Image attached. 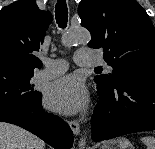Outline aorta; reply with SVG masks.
<instances>
[{
  "mask_svg": "<svg viewBox=\"0 0 155 149\" xmlns=\"http://www.w3.org/2000/svg\"><path fill=\"white\" fill-rule=\"evenodd\" d=\"M90 40V34L85 29H77L71 31L68 35H66L62 43L66 46H71L73 44L79 43H87ZM86 137L82 136L80 138L78 147L79 149H85Z\"/></svg>",
  "mask_w": 155,
  "mask_h": 149,
  "instance_id": "obj_1",
  "label": "aorta"
}]
</instances>
